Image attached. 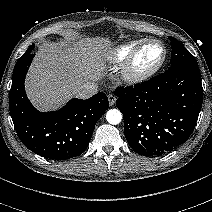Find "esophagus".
Wrapping results in <instances>:
<instances>
[{
  "mask_svg": "<svg viewBox=\"0 0 212 212\" xmlns=\"http://www.w3.org/2000/svg\"><path fill=\"white\" fill-rule=\"evenodd\" d=\"M108 101H109L110 105L112 106L116 102V97L114 95H112V94H109L108 95Z\"/></svg>",
  "mask_w": 212,
  "mask_h": 212,
  "instance_id": "34e87169",
  "label": "esophagus"
}]
</instances>
